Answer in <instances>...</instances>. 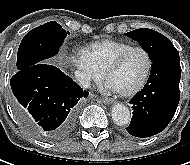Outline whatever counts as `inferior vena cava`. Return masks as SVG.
Instances as JSON below:
<instances>
[{"instance_id": "obj_1", "label": "inferior vena cava", "mask_w": 190, "mask_h": 165, "mask_svg": "<svg viewBox=\"0 0 190 165\" xmlns=\"http://www.w3.org/2000/svg\"><path fill=\"white\" fill-rule=\"evenodd\" d=\"M75 76L76 79L78 80V82L84 87V88H88L90 86V80L89 78L84 75L83 73H81L80 71H76L75 72Z\"/></svg>"}]
</instances>
